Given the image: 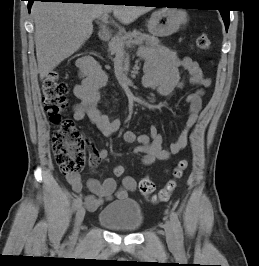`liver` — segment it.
Listing matches in <instances>:
<instances>
[{"label": "liver", "instance_id": "6515ba94", "mask_svg": "<svg viewBox=\"0 0 259 266\" xmlns=\"http://www.w3.org/2000/svg\"><path fill=\"white\" fill-rule=\"evenodd\" d=\"M150 10L145 6L35 2L31 13L40 79L90 38L95 18L112 11L116 19L127 25Z\"/></svg>", "mask_w": 259, "mask_h": 266}]
</instances>
